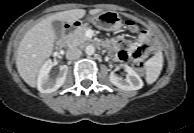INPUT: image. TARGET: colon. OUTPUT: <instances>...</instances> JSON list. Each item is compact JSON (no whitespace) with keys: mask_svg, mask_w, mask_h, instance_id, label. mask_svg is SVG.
Instances as JSON below:
<instances>
[{"mask_svg":"<svg viewBox=\"0 0 194 133\" xmlns=\"http://www.w3.org/2000/svg\"><path fill=\"white\" fill-rule=\"evenodd\" d=\"M126 25H127V27H128L131 31H137V30H138V26H137L136 22L133 21V20H127ZM135 62H136V63H135L136 70H137L139 73H142V72H143V65H142V62H140V60L135 61Z\"/></svg>","mask_w":194,"mask_h":133,"instance_id":"obj_1","label":"colon"}]
</instances>
